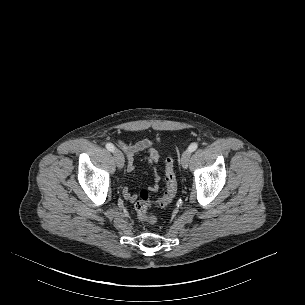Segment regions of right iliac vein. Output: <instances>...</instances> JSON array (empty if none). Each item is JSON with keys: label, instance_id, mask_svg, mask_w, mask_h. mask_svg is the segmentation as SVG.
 Listing matches in <instances>:
<instances>
[{"label": "right iliac vein", "instance_id": "obj_1", "mask_svg": "<svg viewBox=\"0 0 305 305\" xmlns=\"http://www.w3.org/2000/svg\"><path fill=\"white\" fill-rule=\"evenodd\" d=\"M113 153H114V158H115L117 167L119 169L123 168V166H124V156H123L122 152L118 149H115Z\"/></svg>", "mask_w": 305, "mask_h": 305}]
</instances>
